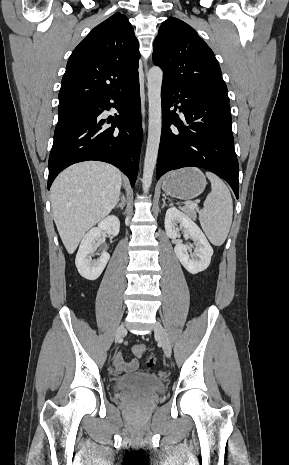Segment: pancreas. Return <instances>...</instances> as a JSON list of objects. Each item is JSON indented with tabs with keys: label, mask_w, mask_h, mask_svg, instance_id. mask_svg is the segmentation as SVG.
<instances>
[{
	"label": "pancreas",
	"mask_w": 289,
	"mask_h": 465,
	"mask_svg": "<svg viewBox=\"0 0 289 465\" xmlns=\"http://www.w3.org/2000/svg\"><path fill=\"white\" fill-rule=\"evenodd\" d=\"M185 212H186L190 217H192L193 219L196 218V212H195L193 209L187 208V209H185Z\"/></svg>",
	"instance_id": "pancreas-1"
}]
</instances>
